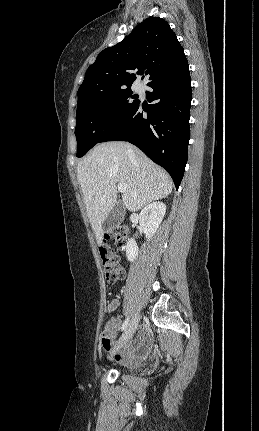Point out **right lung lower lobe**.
Listing matches in <instances>:
<instances>
[{
  "label": "right lung lower lobe",
  "instance_id": "obj_1",
  "mask_svg": "<svg viewBox=\"0 0 259 431\" xmlns=\"http://www.w3.org/2000/svg\"><path fill=\"white\" fill-rule=\"evenodd\" d=\"M148 108L140 102L101 142L128 141L166 169L178 189L187 163L191 79L188 63L148 85ZM147 118L143 117V112Z\"/></svg>",
  "mask_w": 259,
  "mask_h": 431
}]
</instances>
